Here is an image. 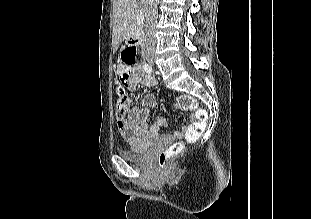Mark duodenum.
Wrapping results in <instances>:
<instances>
[{
	"mask_svg": "<svg viewBox=\"0 0 311 219\" xmlns=\"http://www.w3.org/2000/svg\"><path fill=\"white\" fill-rule=\"evenodd\" d=\"M128 50L129 53L134 54L135 56L139 55V45H140V30L134 29L130 32L127 38Z\"/></svg>",
	"mask_w": 311,
	"mask_h": 219,
	"instance_id": "1",
	"label": "duodenum"
}]
</instances>
